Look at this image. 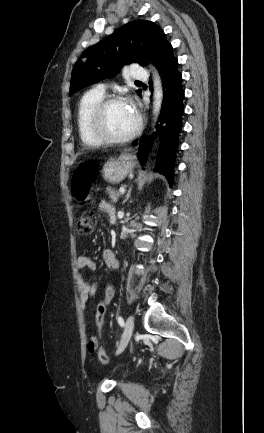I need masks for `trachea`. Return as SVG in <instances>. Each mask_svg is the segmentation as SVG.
I'll return each instance as SVG.
<instances>
[{
	"instance_id": "1",
	"label": "trachea",
	"mask_w": 264,
	"mask_h": 433,
	"mask_svg": "<svg viewBox=\"0 0 264 433\" xmlns=\"http://www.w3.org/2000/svg\"><path fill=\"white\" fill-rule=\"evenodd\" d=\"M136 83H140V81H136Z\"/></svg>"
}]
</instances>
